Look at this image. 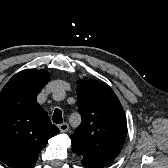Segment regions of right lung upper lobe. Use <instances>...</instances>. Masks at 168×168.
I'll use <instances>...</instances> for the list:
<instances>
[{"instance_id": "1", "label": "right lung upper lobe", "mask_w": 168, "mask_h": 168, "mask_svg": "<svg viewBox=\"0 0 168 168\" xmlns=\"http://www.w3.org/2000/svg\"><path fill=\"white\" fill-rule=\"evenodd\" d=\"M49 76L45 70H23L0 93V160L11 168H33L39 152L59 133L36 99Z\"/></svg>"}]
</instances>
